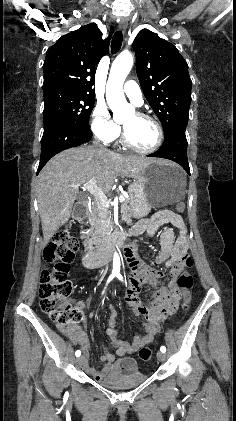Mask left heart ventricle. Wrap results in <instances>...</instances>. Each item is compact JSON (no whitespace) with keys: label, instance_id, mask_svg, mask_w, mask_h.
Returning a JSON list of instances; mask_svg holds the SVG:
<instances>
[{"label":"left heart ventricle","instance_id":"obj_1","mask_svg":"<svg viewBox=\"0 0 236 421\" xmlns=\"http://www.w3.org/2000/svg\"><path fill=\"white\" fill-rule=\"evenodd\" d=\"M122 125L129 141L135 146L147 149L156 141V129L148 120L139 117L136 112L126 117Z\"/></svg>","mask_w":236,"mask_h":421}]
</instances>
